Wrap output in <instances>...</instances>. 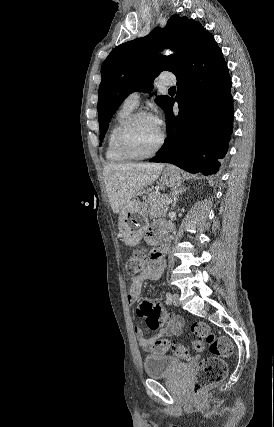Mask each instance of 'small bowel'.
<instances>
[{
    "label": "small bowel",
    "mask_w": 274,
    "mask_h": 427,
    "mask_svg": "<svg viewBox=\"0 0 274 427\" xmlns=\"http://www.w3.org/2000/svg\"><path fill=\"white\" fill-rule=\"evenodd\" d=\"M172 229L170 224L159 221L153 224L147 233V242L154 243L161 236ZM165 262L162 260L151 262L147 268L137 276L128 287L127 303L132 306L141 299L142 285L146 280L157 279L163 273ZM141 311L134 312V319L137 320L138 326L158 327L160 331L149 338L137 328L136 335L140 348L143 351L154 350L156 341L166 336H179L184 326V318L179 315L170 316L166 311L165 304L161 299H143L141 302ZM163 313V315H162ZM163 316V317H162Z\"/></svg>",
    "instance_id": "obj_1"
}]
</instances>
